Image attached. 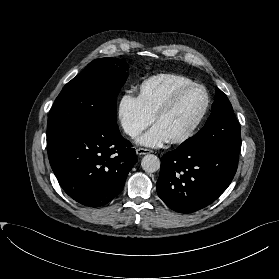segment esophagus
<instances>
[{"label":"esophagus","instance_id":"obj_1","mask_svg":"<svg viewBox=\"0 0 279 279\" xmlns=\"http://www.w3.org/2000/svg\"><path fill=\"white\" fill-rule=\"evenodd\" d=\"M136 153H137L138 155H145V154L151 153V150L146 149V148H137V149H136Z\"/></svg>","mask_w":279,"mask_h":279}]
</instances>
